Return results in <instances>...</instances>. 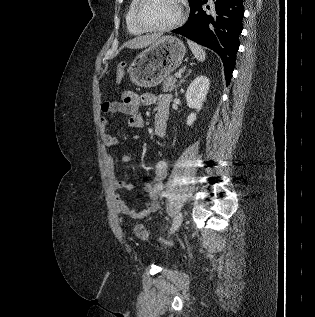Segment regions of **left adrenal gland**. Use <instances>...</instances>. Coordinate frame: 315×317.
Masks as SVG:
<instances>
[{"mask_svg":"<svg viewBox=\"0 0 315 317\" xmlns=\"http://www.w3.org/2000/svg\"><path fill=\"white\" fill-rule=\"evenodd\" d=\"M190 73H191V70H189V71H188V74L185 75V76L180 80V82H179L178 85H180L181 83H183V82L185 81V79L190 75ZM176 88H177V86H176ZM175 94H177V89H175Z\"/></svg>","mask_w":315,"mask_h":317,"instance_id":"a2214340","label":"left adrenal gland"}]
</instances>
